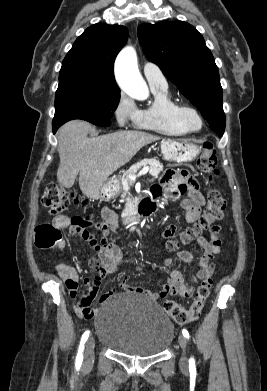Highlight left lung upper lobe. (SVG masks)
Wrapping results in <instances>:
<instances>
[{"label": "left lung upper lobe", "mask_w": 267, "mask_h": 391, "mask_svg": "<svg viewBox=\"0 0 267 391\" xmlns=\"http://www.w3.org/2000/svg\"><path fill=\"white\" fill-rule=\"evenodd\" d=\"M146 58L157 64L207 120L223 135L225 115L219 71L203 36L183 21L142 24L137 29Z\"/></svg>", "instance_id": "1"}]
</instances>
